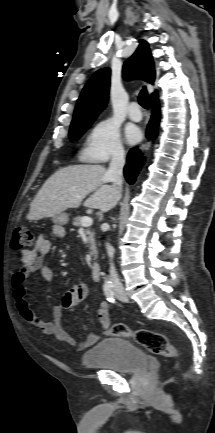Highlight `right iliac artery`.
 Returning a JSON list of instances; mask_svg holds the SVG:
<instances>
[{
    "mask_svg": "<svg viewBox=\"0 0 215 433\" xmlns=\"http://www.w3.org/2000/svg\"><path fill=\"white\" fill-rule=\"evenodd\" d=\"M104 293L106 295V298L109 302H114V291L111 285H105L104 288Z\"/></svg>",
    "mask_w": 215,
    "mask_h": 433,
    "instance_id": "obj_1",
    "label": "right iliac artery"
}]
</instances>
